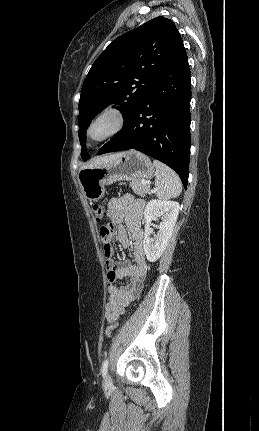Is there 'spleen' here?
Here are the masks:
<instances>
[{"label":"spleen","instance_id":"3e777b00","mask_svg":"<svg viewBox=\"0 0 259 431\" xmlns=\"http://www.w3.org/2000/svg\"><path fill=\"white\" fill-rule=\"evenodd\" d=\"M156 168V195L159 199L175 198L182 192V183L179 176L164 163L154 160Z\"/></svg>","mask_w":259,"mask_h":431}]
</instances>
